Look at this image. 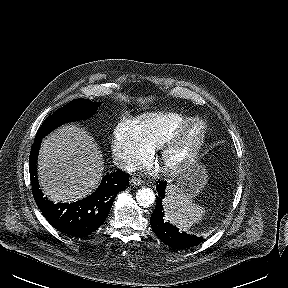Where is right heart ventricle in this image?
Returning a JSON list of instances; mask_svg holds the SVG:
<instances>
[{"mask_svg": "<svg viewBox=\"0 0 288 288\" xmlns=\"http://www.w3.org/2000/svg\"><path fill=\"white\" fill-rule=\"evenodd\" d=\"M190 118L175 112H156L141 116L138 124L152 148L160 147L163 140Z\"/></svg>", "mask_w": 288, "mask_h": 288, "instance_id": "obj_1", "label": "right heart ventricle"}]
</instances>
